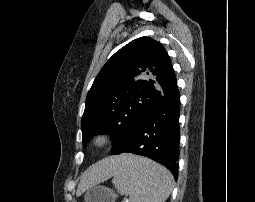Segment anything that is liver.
<instances>
[{"instance_id": "liver-1", "label": "liver", "mask_w": 255, "mask_h": 202, "mask_svg": "<svg viewBox=\"0 0 255 202\" xmlns=\"http://www.w3.org/2000/svg\"><path fill=\"white\" fill-rule=\"evenodd\" d=\"M131 155H119L105 158L87 169L81 176L77 193L111 177Z\"/></svg>"}]
</instances>
